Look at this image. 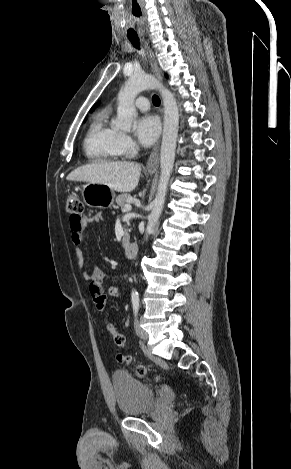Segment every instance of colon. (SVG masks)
Wrapping results in <instances>:
<instances>
[{"label":"colon","instance_id":"colon-1","mask_svg":"<svg viewBox=\"0 0 291 469\" xmlns=\"http://www.w3.org/2000/svg\"><path fill=\"white\" fill-rule=\"evenodd\" d=\"M66 208H67L68 213L71 215V217L82 218L84 215V204L79 194L75 192H71L68 194L67 201H66ZM94 291H97V289H94ZM93 305L96 311H102L104 307L107 305L106 296L103 294H99L98 296H95L93 298ZM106 329L112 336L114 344L120 348H123L125 346L124 335L118 332L115 326L110 322H106ZM117 360L123 363H130L131 357L125 354H118ZM136 370L139 375H144L146 373V369L142 365L137 366Z\"/></svg>","mask_w":291,"mask_h":469}]
</instances>
